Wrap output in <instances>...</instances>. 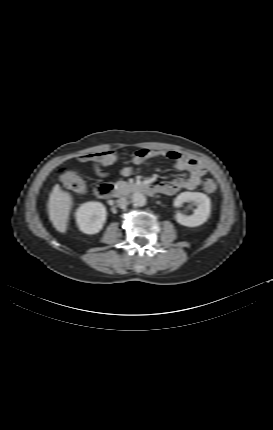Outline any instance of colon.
<instances>
[{"label":"colon","instance_id":"1","mask_svg":"<svg viewBox=\"0 0 273 430\" xmlns=\"http://www.w3.org/2000/svg\"><path fill=\"white\" fill-rule=\"evenodd\" d=\"M64 186L76 193H83L86 190L85 181L74 171L68 168H62L59 171ZM203 188L207 193H214L217 190V184L213 179H206Z\"/></svg>","mask_w":273,"mask_h":430}]
</instances>
